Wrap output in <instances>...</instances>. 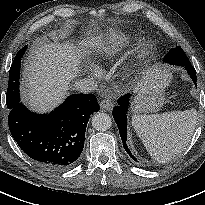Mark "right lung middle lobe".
<instances>
[{"label":"right lung middle lobe","mask_w":205,"mask_h":205,"mask_svg":"<svg viewBox=\"0 0 205 205\" xmlns=\"http://www.w3.org/2000/svg\"><path fill=\"white\" fill-rule=\"evenodd\" d=\"M27 46L23 47L15 56L14 62L11 65L10 73H9V83L6 94V104L9 109L15 107L19 101V72H20V63L21 58L26 51Z\"/></svg>","instance_id":"obj_1"}]
</instances>
